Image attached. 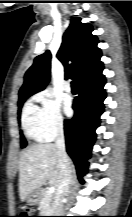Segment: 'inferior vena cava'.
I'll use <instances>...</instances> for the list:
<instances>
[{"mask_svg": "<svg viewBox=\"0 0 132 217\" xmlns=\"http://www.w3.org/2000/svg\"><path fill=\"white\" fill-rule=\"evenodd\" d=\"M55 145L58 155V166L61 173V182L57 188L55 196V209L56 216H62L64 213L65 198L69 193V188L73 179V164L69 159L65 149V139L63 126L61 125L57 131Z\"/></svg>", "mask_w": 132, "mask_h": 217, "instance_id": "inferior-vena-cava-1", "label": "inferior vena cava"}]
</instances>
